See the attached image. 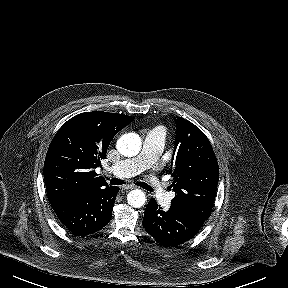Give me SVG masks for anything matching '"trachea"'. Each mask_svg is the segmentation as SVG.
<instances>
[{
    "label": "trachea",
    "instance_id": "trachea-1",
    "mask_svg": "<svg viewBox=\"0 0 288 288\" xmlns=\"http://www.w3.org/2000/svg\"><path fill=\"white\" fill-rule=\"evenodd\" d=\"M110 184L112 185H122L124 184V181L121 179H117V178H112L109 179ZM137 186L142 187L143 189L147 190V191H152V188L145 182H136L135 183Z\"/></svg>",
    "mask_w": 288,
    "mask_h": 288
}]
</instances>
